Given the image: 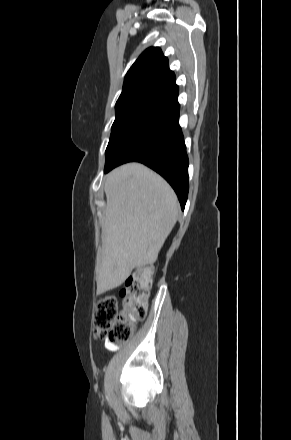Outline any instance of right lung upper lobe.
I'll return each instance as SVG.
<instances>
[{
	"label": "right lung upper lobe",
	"instance_id": "obj_1",
	"mask_svg": "<svg viewBox=\"0 0 291 440\" xmlns=\"http://www.w3.org/2000/svg\"><path fill=\"white\" fill-rule=\"evenodd\" d=\"M175 75L168 59L158 47L145 50L127 72L116 104L136 100H154L175 86Z\"/></svg>",
	"mask_w": 291,
	"mask_h": 440
}]
</instances>
